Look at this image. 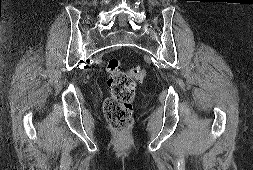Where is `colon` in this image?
Returning <instances> with one entry per match:
<instances>
[{
    "label": "colon",
    "mask_w": 253,
    "mask_h": 170,
    "mask_svg": "<svg viewBox=\"0 0 253 170\" xmlns=\"http://www.w3.org/2000/svg\"><path fill=\"white\" fill-rule=\"evenodd\" d=\"M146 71L141 67L121 70L118 59L107 64V84L110 96L105 100L104 112L111 128L124 136L132 123V102L135 96L136 80H143Z\"/></svg>",
    "instance_id": "1"
}]
</instances>
